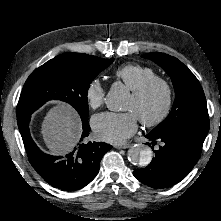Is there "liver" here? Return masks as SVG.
Instances as JSON below:
<instances>
[{"label": "liver", "mask_w": 221, "mask_h": 221, "mask_svg": "<svg viewBox=\"0 0 221 221\" xmlns=\"http://www.w3.org/2000/svg\"><path fill=\"white\" fill-rule=\"evenodd\" d=\"M41 133L51 154L65 155L73 150L81 136L80 117L68 104L58 103L47 112Z\"/></svg>", "instance_id": "6515ba94"}]
</instances>
